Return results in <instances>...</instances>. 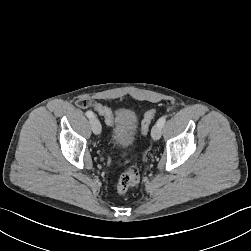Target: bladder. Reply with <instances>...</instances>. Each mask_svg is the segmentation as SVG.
Returning <instances> with one entry per match:
<instances>
[{"instance_id":"1","label":"bladder","mask_w":251,"mask_h":251,"mask_svg":"<svg viewBox=\"0 0 251 251\" xmlns=\"http://www.w3.org/2000/svg\"><path fill=\"white\" fill-rule=\"evenodd\" d=\"M112 144L117 148H125L129 145L137 127V117L128 108H120L115 111L113 117Z\"/></svg>"}]
</instances>
